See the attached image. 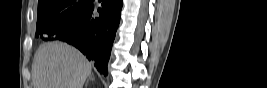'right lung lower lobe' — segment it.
Wrapping results in <instances>:
<instances>
[{
  "label": "right lung lower lobe",
  "instance_id": "1",
  "mask_svg": "<svg viewBox=\"0 0 267 88\" xmlns=\"http://www.w3.org/2000/svg\"><path fill=\"white\" fill-rule=\"evenodd\" d=\"M121 8L122 0H103L99 17H95L91 3L76 21L58 29L50 40L59 39L77 47L106 76Z\"/></svg>",
  "mask_w": 267,
  "mask_h": 88
}]
</instances>
